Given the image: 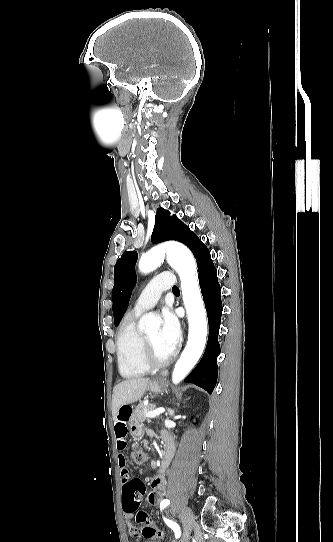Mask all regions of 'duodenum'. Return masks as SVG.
Listing matches in <instances>:
<instances>
[{
	"instance_id": "1",
	"label": "duodenum",
	"mask_w": 333,
	"mask_h": 542,
	"mask_svg": "<svg viewBox=\"0 0 333 542\" xmlns=\"http://www.w3.org/2000/svg\"><path fill=\"white\" fill-rule=\"evenodd\" d=\"M162 440L164 449L162 460L158 469L159 474H164L166 472L174 454V444L172 437L168 434H164Z\"/></svg>"
}]
</instances>
